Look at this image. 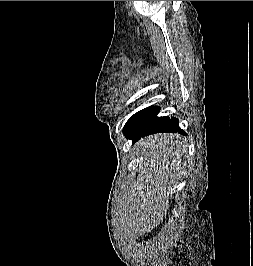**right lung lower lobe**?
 Returning <instances> with one entry per match:
<instances>
[{"mask_svg":"<svg viewBox=\"0 0 253 266\" xmlns=\"http://www.w3.org/2000/svg\"><path fill=\"white\" fill-rule=\"evenodd\" d=\"M159 132H180L185 134L178 125V120L174 117H164L159 123L153 126L142 127L138 129H130L124 126L123 133L126 138L131 139L133 143L141 137Z\"/></svg>","mask_w":253,"mask_h":266,"instance_id":"1","label":"right lung lower lobe"}]
</instances>
